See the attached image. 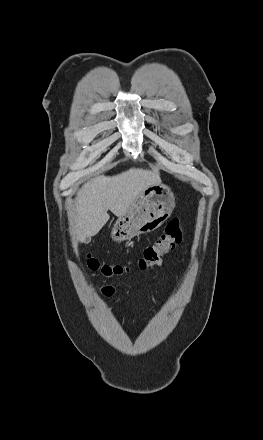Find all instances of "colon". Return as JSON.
Masks as SVG:
<instances>
[{
  "instance_id": "obj_1",
  "label": "colon",
  "mask_w": 263,
  "mask_h": 440,
  "mask_svg": "<svg viewBox=\"0 0 263 440\" xmlns=\"http://www.w3.org/2000/svg\"><path fill=\"white\" fill-rule=\"evenodd\" d=\"M182 235L180 221L178 219L171 220L157 241L144 249L142 257L137 262V267L142 271H148L159 266L163 256L181 242ZM87 266L93 272L99 273L105 280L119 278L129 271L128 266L100 264L93 257L88 258Z\"/></svg>"
}]
</instances>
